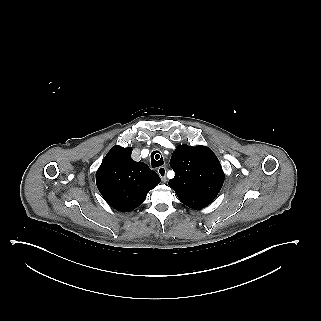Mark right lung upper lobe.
Instances as JSON below:
<instances>
[{
	"label": "right lung upper lobe",
	"instance_id": "obj_1",
	"mask_svg": "<svg viewBox=\"0 0 321 321\" xmlns=\"http://www.w3.org/2000/svg\"><path fill=\"white\" fill-rule=\"evenodd\" d=\"M132 148L114 146L96 173V184L106 202L122 212L142 204L160 177L142 162L131 158Z\"/></svg>",
	"mask_w": 321,
	"mask_h": 321
}]
</instances>
